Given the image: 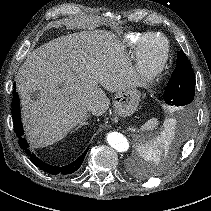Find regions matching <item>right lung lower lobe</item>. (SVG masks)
<instances>
[{"instance_id":"right-lung-lower-lobe-1","label":"right lung lower lobe","mask_w":211,"mask_h":211,"mask_svg":"<svg viewBox=\"0 0 211 211\" xmlns=\"http://www.w3.org/2000/svg\"><path fill=\"white\" fill-rule=\"evenodd\" d=\"M15 88V84H14ZM12 116H13V125L15 127V132L17 137L19 138V145L22 149L26 150L27 155H30L31 161L40 169L44 170L45 172H48L50 174H71L79 169V167L82 165V162L84 161L85 155L89 148H87L84 153L79 156L74 162H72L69 165L63 166V167H56L51 166L43 161H41L39 158H37L34 154H30L29 150L27 149L28 144L26 140L22 137L23 135V128L20 118V105H19V96L16 93V90H13V99H12Z\"/></svg>"}]
</instances>
